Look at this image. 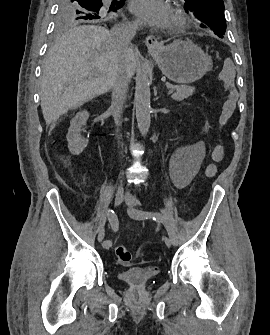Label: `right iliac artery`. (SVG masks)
Here are the masks:
<instances>
[{
  "label": "right iliac artery",
  "instance_id": "82829eb1",
  "mask_svg": "<svg viewBox=\"0 0 270 335\" xmlns=\"http://www.w3.org/2000/svg\"><path fill=\"white\" fill-rule=\"evenodd\" d=\"M107 217H108V220H109V223H110V226H111L112 230L114 232H117L118 228H119V222H118V218H117L115 212L112 209H109L107 211ZM111 245H112L111 240H106L102 244V246L106 249H109L111 247Z\"/></svg>",
  "mask_w": 270,
  "mask_h": 335
}]
</instances>
